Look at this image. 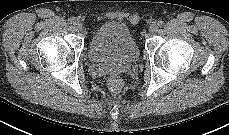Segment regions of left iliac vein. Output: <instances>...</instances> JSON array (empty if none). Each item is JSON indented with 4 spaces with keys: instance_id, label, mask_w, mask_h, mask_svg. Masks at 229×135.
Masks as SVG:
<instances>
[{
    "instance_id": "4c4485c4",
    "label": "left iliac vein",
    "mask_w": 229,
    "mask_h": 135,
    "mask_svg": "<svg viewBox=\"0 0 229 135\" xmlns=\"http://www.w3.org/2000/svg\"><path fill=\"white\" fill-rule=\"evenodd\" d=\"M157 30H158V25L156 23H153L150 25V27H149V33L150 34L156 33Z\"/></svg>"
}]
</instances>
